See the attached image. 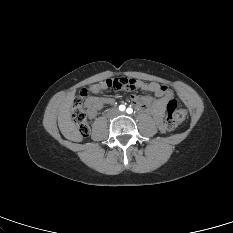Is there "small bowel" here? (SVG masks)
<instances>
[{"label": "small bowel", "mask_w": 233, "mask_h": 233, "mask_svg": "<svg viewBox=\"0 0 233 233\" xmlns=\"http://www.w3.org/2000/svg\"><path fill=\"white\" fill-rule=\"evenodd\" d=\"M105 88V82L98 83L92 86L91 91L94 95H97ZM135 88L141 91L152 92L155 95V97H152L147 94L133 93L130 96V100L135 108L151 114L159 128H162V121L167 110V103L169 100L173 99L172 91L167 86L157 82L148 83L140 80H136ZM113 103L114 100L110 97H92L88 108V116L94 118L98 111Z\"/></svg>", "instance_id": "c3829d8e"}]
</instances>
